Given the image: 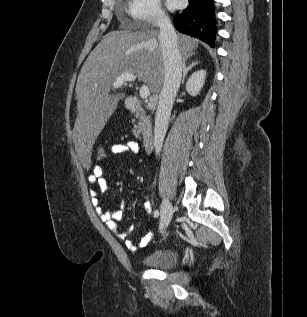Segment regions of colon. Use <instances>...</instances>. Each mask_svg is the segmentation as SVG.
<instances>
[{"instance_id":"5ec220e1","label":"colon","mask_w":307,"mask_h":317,"mask_svg":"<svg viewBox=\"0 0 307 317\" xmlns=\"http://www.w3.org/2000/svg\"><path fill=\"white\" fill-rule=\"evenodd\" d=\"M108 155V151L105 147H98L95 151V159L97 160V162H103L104 160H106Z\"/></svg>"}]
</instances>
